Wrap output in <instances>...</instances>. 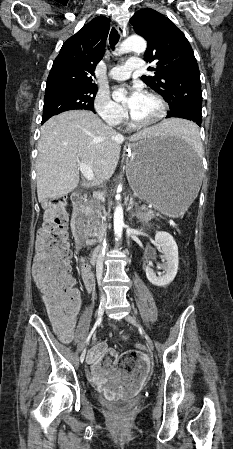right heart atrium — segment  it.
<instances>
[{
  "mask_svg": "<svg viewBox=\"0 0 233 449\" xmlns=\"http://www.w3.org/2000/svg\"><path fill=\"white\" fill-rule=\"evenodd\" d=\"M93 106L100 118L110 126L120 124L126 117L123 106L114 101L105 90L97 92Z\"/></svg>",
  "mask_w": 233,
  "mask_h": 449,
  "instance_id": "obj_1",
  "label": "right heart atrium"
}]
</instances>
